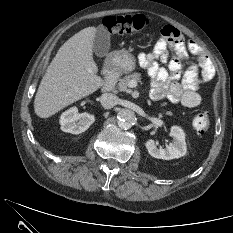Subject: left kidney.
Segmentation results:
<instances>
[{"label": "left kidney", "mask_w": 233, "mask_h": 233, "mask_svg": "<svg viewBox=\"0 0 233 233\" xmlns=\"http://www.w3.org/2000/svg\"><path fill=\"white\" fill-rule=\"evenodd\" d=\"M170 136L173 138V141L166 149L158 148L153 139L148 140L145 146L149 154L154 158L163 160L178 159L184 156L187 152L184 131L178 126H172Z\"/></svg>", "instance_id": "left-kidney-1"}]
</instances>
